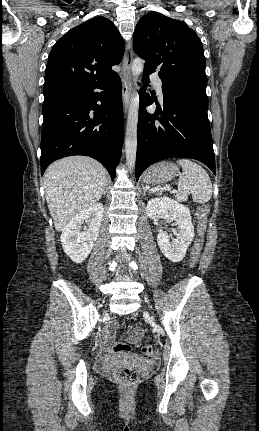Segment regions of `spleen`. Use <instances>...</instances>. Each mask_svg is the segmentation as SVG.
<instances>
[{"label": "spleen", "instance_id": "spleen-1", "mask_svg": "<svg viewBox=\"0 0 259 431\" xmlns=\"http://www.w3.org/2000/svg\"><path fill=\"white\" fill-rule=\"evenodd\" d=\"M183 169L177 185L178 201H186L188 194H192L196 203H206L212 197V183L206 170L199 164L189 160L181 159L177 161Z\"/></svg>", "mask_w": 259, "mask_h": 431}]
</instances>
